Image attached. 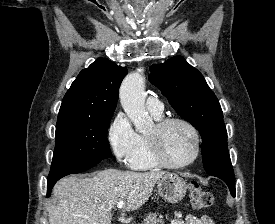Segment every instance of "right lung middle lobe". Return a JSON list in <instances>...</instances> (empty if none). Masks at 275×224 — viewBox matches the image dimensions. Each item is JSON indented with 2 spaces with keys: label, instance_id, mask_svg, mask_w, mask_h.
I'll return each mask as SVG.
<instances>
[{
  "label": "right lung middle lobe",
  "instance_id": "dd1d6c3e",
  "mask_svg": "<svg viewBox=\"0 0 275 224\" xmlns=\"http://www.w3.org/2000/svg\"><path fill=\"white\" fill-rule=\"evenodd\" d=\"M112 116L57 121L48 179L97 164L111 156L107 130Z\"/></svg>",
  "mask_w": 275,
  "mask_h": 224
}]
</instances>
